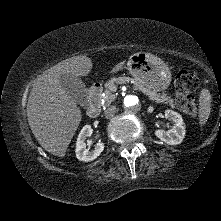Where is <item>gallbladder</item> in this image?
<instances>
[{
    "label": "gallbladder",
    "mask_w": 221,
    "mask_h": 221,
    "mask_svg": "<svg viewBox=\"0 0 221 221\" xmlns=\"http://www.w3.org/2000/svg\"><path fill=\"white\" fill-rule=\"evenodd\" d=\"M60 83L64 91L77 103L83 107L87 106L86 86L80 78L63 74L60 77Z\"/></svg>",
    "instance_id": "1"
}]
</instances>
